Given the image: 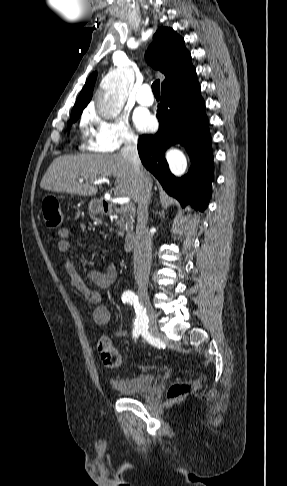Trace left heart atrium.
Masks as SVG:
<instances>
[{
  "instance_id": "obj_1",
  "label": "left heart atrium",
  "mask_w": 287,
  "mask_h": 486,
  "mask_svg": "<svg viewBox=\"0 0 287 486\" xmlns=\"http://www.w3.org/2000/svg\"><path fill=\"white\" fill-rule=\"evenodd\" d=\"M135 124L140 130H147L153 125V118L148 114H139L135 118Z\"/></svg>"
}]
</instances>
